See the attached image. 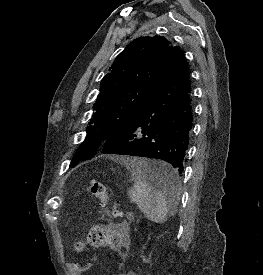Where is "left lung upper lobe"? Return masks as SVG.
I'll list each match as a JSON object with an SVG mask.
<instances>
[{
	"mask_svg": "<svg viewBox=\"0 0 263 275\" xmlns=\"http://www.w3.org/2000/svg\"><path fill=\"white\" fill-rule=\"evenodd\" d=\"M178 49L163 36L140 37L126 46L101 81L91 125L70 167L94 157L128 126L164 79Z\"/></svg>",
	"mask_w": 263,
	"mask_h": 275,
	"instance_id": "1",
	"label": "left lung upper lobe"
}]
</instances>
